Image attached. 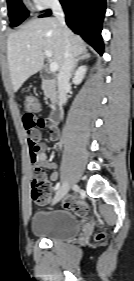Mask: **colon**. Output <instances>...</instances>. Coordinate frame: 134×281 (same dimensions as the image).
I'll list each match as a JSON object with an SVG mask.
<instances>
[{
  "label": "colon",
  "instance_id": "5ec220e1",
  "mask_svg": "<svg viewBox=\"0 0 134 281\" xmlns=\"http://www.w3.org/2000/svg\"><path fill=\"white\" fill-rule=\"evenodd\" d=\"M25 107L29 112L37 111L39 108L38 100L34 96H27ZM30 193L32 200L38 205L46 204L51 198V185L47 181L45 173L41 168H34L30 180ZM63 206L74 211L79 216H85L88 207L85 202L72 197L63 201Z\"/></svg>",
  "mask_w": 134,
  "mask_h": 281
}]
</instances>
